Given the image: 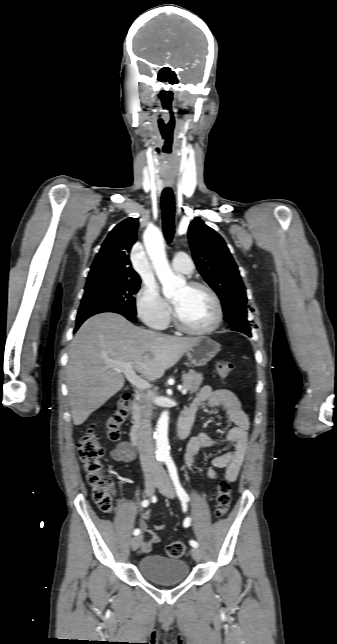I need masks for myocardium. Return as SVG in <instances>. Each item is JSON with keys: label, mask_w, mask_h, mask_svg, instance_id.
Listing matches in <instances>:
<instances>
[{"label": "myocardium", "mask_w": 337, "mask_h": 644, "mask_svg": "<svg viewBox=\"0 0 337 644\" xmlns=\"http://www.w3.org/2000/svg\"><path fill=\"white\" fill-rule=\"evenodd\" d=\"M187 287L191 288V289L202 288V289L206 290L210 294V296H211V298H212V300L214 302L215 310H216L214 321L212 322V324L210 326H208V327H206L204 329H193V328L188 327L187 325H185L182 322V320L177 315L175 309L173 308L172 319H173L174 325L176 326V328L178 330H180V331H182L184 333L190 334V335L203 336V335H208V334L213 333L215 330H217L220 327V325H221V323L223 321V316H224L223 306H222L220 297L218 296L217 292L210 285H208L207 283H204V282L190 281V282L187 283Z\"/></svg>", "instance_id": "obj_1"}]
</instances>
